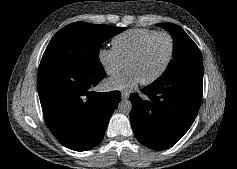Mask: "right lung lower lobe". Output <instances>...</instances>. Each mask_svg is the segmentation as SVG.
I'll list each match as a JSON object with an SVG mask.
<instances>
[{
    "instance_id": "right-lung-lower-lobe-1",
    "label": "right lung lower lobe",
    "mask_w": 237,
    "mask_h": 169,
    "mask_svg": "<svg viewBox=\"0 0 237 169\" xmlns=\"http://www.w3.org/2000/svg\"><path fill=\"white\" fill-rule=\"evenodd\" d=\"M104 77V69L84 71L40 65L37 84L43 115L65 147L86 151L102 140L121 95L119 91L89 92Z\"/></svg>"
}]
</instances>
